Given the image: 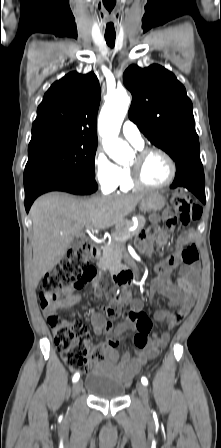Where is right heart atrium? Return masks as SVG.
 Instances as JSON below:
<instances>
[{"label": "right heart atrium", "mask_w": 221, "mask_h": 448, "mask_svg": "<svg viewBox=\"0 0 221 448\" xmlns=\"http://www.w3.org/2000/svg\"><path fill=\"white\" fill-rule=\"evenodd\" d=\"M93 171L101 191L113 192L120 181L121 169L103 151H97L93 159Z\"/></svg>", "instance_id": "1"}]
</instances>
